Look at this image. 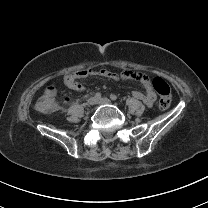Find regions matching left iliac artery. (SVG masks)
Returning a JSON list of instances; mask_svg holds the SVG:
<instances>
[{
    "mask_svg": "<svg viewBox=\"0 0 208 208\" xmlns=\"http://www.w3.org/2000/svg\"><path fill=\"white\" fill-rule=\"evenodd\" d=\"M110 98H111L112 100H117V96H116L115 94H111V95H110Z\"/></svg>",
    "mask_w": 208,
    "mask_h": 208,
    "instance_id": "left-iliac-artery-1",
    "label": "left iliac artery"
}]
</instances>
